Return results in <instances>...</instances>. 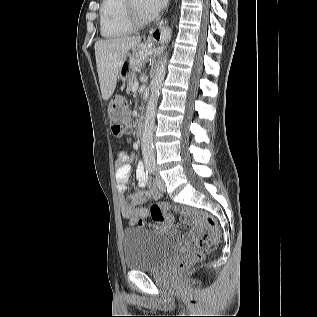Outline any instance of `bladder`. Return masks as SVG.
Listing matches in <instances>:
<instances>
[{"label": "bladder", "instance_id": "31cf9c89", "mask_svg": "<svg viewBox=\"0 0 317 317\" xmlns=\"http://www.w3.org/2000/svg\"><path fill=\"white\" fill-rule=\"evenodd\" d=\"M123 247L125 267L133 271L160 269L177 253L174 240L139 227L124 231Z\"/></svg>", "mask_w": 317, "mask_h": 317}]
</instances>
